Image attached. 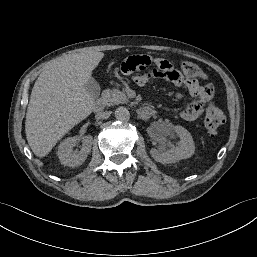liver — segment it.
<instances>
[{
  "label": "liver",
  "instance_id": "obj_1",
  "mask_svg": "<svg viewBox=\"0 0 257 257\" xmlns=\"http://www.w3.org/2000/svg\"><path fill=\"white\" fill-rule=\"evenodd\" d=\"M103 57L97 51L66 55L40 73L25 121L27 141L37 157L48 155L69 130L92 113L95 99L84 85Z\"/></svg>",
  "mask_w": 257,
  "mask_h": 257
}]
</instances>
